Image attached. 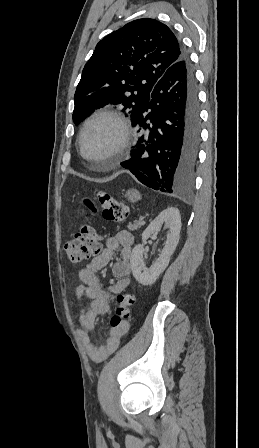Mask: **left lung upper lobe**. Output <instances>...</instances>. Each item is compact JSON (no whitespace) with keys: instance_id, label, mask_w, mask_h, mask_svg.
I'll return each mask as SVG.
<instances>
[{"instance_id":"left-lung-upper-lobe-1","label":"left lung upper lobe","mask_w":259,"mask_h":448,"mask_svg":"<svg viewBox=\"0 0 259 448\" xmlns=\"http://www.w3.org/2000/svg\"><path fill=\"white\" fill-rule=\"evenodd\" d=\"M182 55L178 38L155 19L134 20L112 32L96 45L83 69L74 123L109 104L124 106L127 116L143 109L155 84Z\"/></svg>"}]
</instances>
